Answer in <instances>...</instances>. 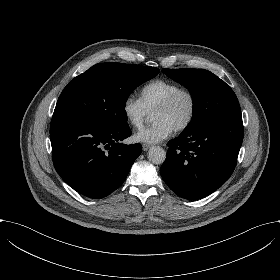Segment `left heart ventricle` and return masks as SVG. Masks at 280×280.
I'll return each mask as SVG.
<instances>
[{"label": "left heart ventricle", "mask_w": 280, "mask_h": 280, "mask_svg": "<svg viewBox=\"0 0 280 280\" xmlns=\"http://www.w3.org/2000/svg\"><path fill=\"white\" fill-rule=\"evenodd\" d=\"M190 111L191 100L189 96L182 95L172 107L164 110L154 111L152 114V120L157 121L162 119L176 128L188 118Z\"/></svg>", "instance_id": "obj_1"}]
</instances>
